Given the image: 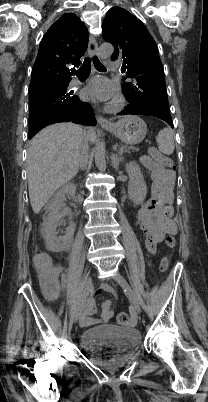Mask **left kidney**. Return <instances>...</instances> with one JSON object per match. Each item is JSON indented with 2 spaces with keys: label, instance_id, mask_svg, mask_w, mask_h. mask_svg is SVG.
<instances>
[{
  "label": "left kidney",
  "instance_id": "1",
  "mask_svg": "<svg viewBox=\"0 0 208 402\" xmlns=\"http://www.w3.org/2000/svg\"><path fill=\"white\" fill-rule=\"evenodd\" d=\"M126 172L129 176V198L135 206H138V204H142L146 198L147 186L136 162H129V164H126Z\"/></svg>",
  "mask_w": 208,
  "mask_h": 402
}]
</instances>
